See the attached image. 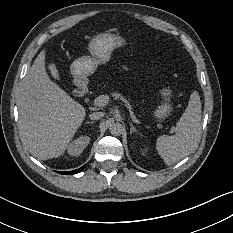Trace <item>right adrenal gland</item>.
Segmentation results:
<instances>
[{
	"instance_id": "2a0ac1e0",
	"label": "right adrenal gland",
	"mask_w": 233,
	"mask_h": 233,
	"mask_svg": "<svg viewBox=\"0 0 233 233\" xmlns=\"http://www.w3.org/2000/svg\"><path fill=\"white\" fill-rule=\"evenodd\" d=\"M85 123H91V124H94L95 122H94V121H86Z\"/></svg>"
}]
</instances>
